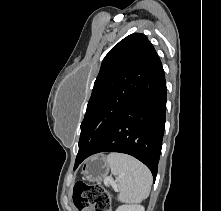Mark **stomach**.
I'll use <instances>...</instances> for the list:
<instances>
[{
  "instance_id": "obj_1",
  "label": "stomach",
  "mask_w": 221,
  "mask_h": 211,
  "mask_svg": "<svg viewBox=\"0 0 221 211\" xmlns=\"http://www.w3.org/2000/svg\"><path fill=\"white\" fill-rule=\"evenodd\" d=\"M109 166L106 158L96 155L87 159L82 167V174L89 182H101L108 174Z\"/></svg>"
}]
</instances>
